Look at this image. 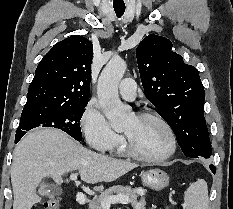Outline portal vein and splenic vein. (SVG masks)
Wrapping results in <instances>:
<instances>
[{"mask_svg":"<svg viewBox=\"0 0 233 209\" xmlns=\"http://www.w3.org/2000/svg\"><path fill=\"white\" fill-rule=\"evenodd\" d=\"M71 180H76L77 175L71 174L70 175ZM129 198L124 196H110L104 200L101 201V206L103 209H109L111 204H128Z\"/></svg>","mask_w":233,"mask_h":209,"instance_id":"portal-vein-and-splenic-vein-1","label":"portal vein and splenic vein"}]
</instances>
